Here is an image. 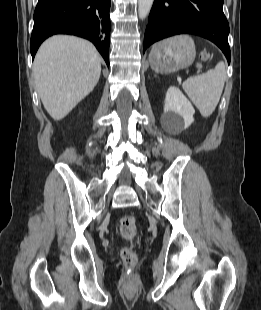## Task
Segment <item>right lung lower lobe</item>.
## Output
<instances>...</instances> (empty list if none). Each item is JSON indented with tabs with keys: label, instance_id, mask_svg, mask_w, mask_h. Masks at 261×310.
Instances as JSON below:
<instances>
[{
	"label": "right lung lower lobe",
	"instance_id": "98d812e1",
	"mask_svg": "<svg viewBox=\"0 0 261 310\" xmlns=\"http://www.w3.org/2000/svg\"><path fill=\"white\" fill-rule=\"evenodd\" d=\"M111 0H38L30 51L53 34H73L90 40L109 65Z\"/></svg>",
	"mask_w": 261,
	"mask_h": 310
}]
</instances>
